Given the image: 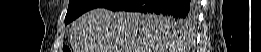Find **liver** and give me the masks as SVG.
I'll use <instances>...</instances> for the list:
<instances>
[{
	"instance_id": "liver-1",
	"label": "liver",
	"mask_w": 261,
	"mask_h": 52,
	"mask_svg": "<svg viewBox=\"0 0 261 52\" xmlns=\"http://www.w3.org/2000/svg\"><path fill=\"white\" fill-rule=\"evenodd\" d=\"M181 25L161 15L93 9L73 24L70 36L77 52H179Z\"/></svg>"
}]
</instances>
